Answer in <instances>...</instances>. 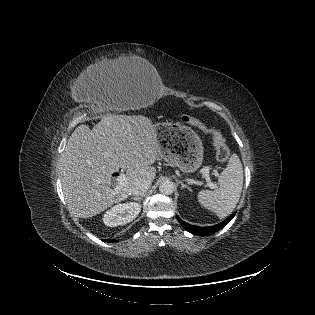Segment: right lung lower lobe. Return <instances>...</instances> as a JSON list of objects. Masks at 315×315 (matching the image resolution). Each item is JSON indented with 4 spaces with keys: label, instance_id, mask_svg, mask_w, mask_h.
Masks as SVG:
<instances>
[{
    "label": "right lung lower lobe",
    "instance_id": "obj_1",
    "mask_svg": "<svg viewBox=\"0 0 315 315\" xmlns=\"http://www.w3.org/2000/svg\"><path fill=\"white\" fill-rule=\"evenodd\" d=\"M106 242H114V239H107Z\"/></svg>",
    "mask_w": 315,
    "mask_h": 315
}]
</instances>
